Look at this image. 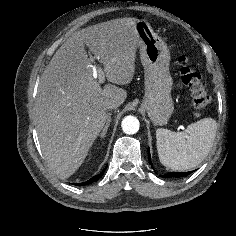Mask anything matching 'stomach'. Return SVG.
<instances>
[{"instance_id": "0dacf381", "label": "stomach", "mask_w": 236, "mask_h": 236, "mask_svg": "<svg viewBox=\"0 0 236 236\" xmlns=\"http://www.w3.org/2000/svg\"><path fill=\"white\" fill-rule=\"evenodd\" d=\"M134 27L140 39V59L145 72L142 108L154 125H166L174 111L169 49L146 21L137 20Z\"/></svg>"}]
</instances>
